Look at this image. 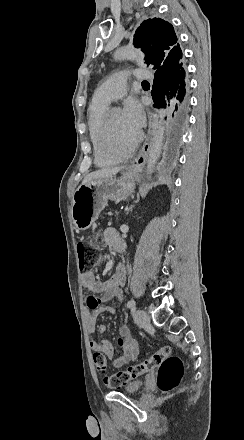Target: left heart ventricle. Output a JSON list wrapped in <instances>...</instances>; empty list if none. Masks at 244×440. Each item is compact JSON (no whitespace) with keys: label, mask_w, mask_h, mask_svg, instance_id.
<instances>
[{"label":"left heart ventricle","mask_w":244,"mask_h":440,"mask_svg":"<svg viewBox=\"0 0 244 440\" xmlns=\"http://www.w3.org/2000/svg\"><path fill=\"white\" fill-rule=\"evenodd\" d=\"M107 128L110 129L111 133L108 136L110 146L125 145L131 137L121 110L112 113L111 124Z\"/></svg>","instance_id":"b2bd125f"}]
</instances>
